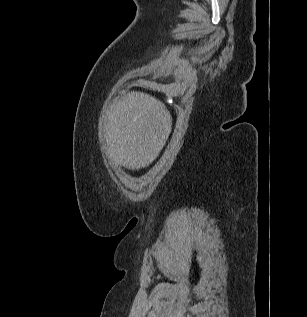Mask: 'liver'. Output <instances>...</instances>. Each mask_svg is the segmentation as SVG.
Returning a JSON list of instances; mask_svg holds the SVG:
<instances>
[{
	"label": "liver",
	"mask_w": 307,
	"mask_h": 317,
	"mask_svg": "<svg viewBox=\"0 0 307 317\" xmlns=\"http://www.w3.org/2000/svg\"><path fill=\"white\" fill-rule=\"evenodd\" d=\"M171 130L172 117L165 104L133 91L115 100L107 112V152L126 169L144 168L158 157Z\"/></svg>",
	"instance_id": "obj_1"
}]
</instances>
